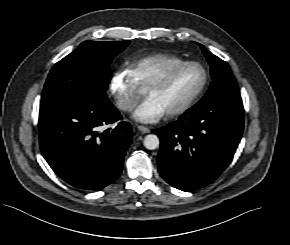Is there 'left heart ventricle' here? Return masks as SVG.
<instances>
[{
    "instance_id": "left-heart-ventricle-1",
    "label": "left heart ventricle",
    "mask_w": 290,
    "mask_h": 245,
    "mask_svg": "<svg viewBox=\"0 0 290 245\" xmlns=\"http://www.w3.org/2000/svg\"><path fill=\"white\" fill-rule=\"evenodd\" d=\"M203 72L198 67H185L174 73L161 86L145 89V95L154 97L166 110L184 104L200 87Z\"/></svg>"
}]
</instances>
